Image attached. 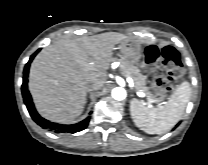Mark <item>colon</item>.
I'll return each instance as SVG.
<instances>
[{"label":"colon","mask_w":208,"mask_h":165,"mask_svg":"<svg viewBox=\"0 0 208 165\" xmlns=\"http://www.w3.org/2000/svg\"><path fill=\"white\" fill-rule=\"evenodd\" d=\"M144 56L146 69L154 73L151 79L153 88L159 95H166L171 90L175 77L183 70L179 52L172 46L162 49L148 46Z\"/></svg>","instance_id":"1"}]
</instances>
